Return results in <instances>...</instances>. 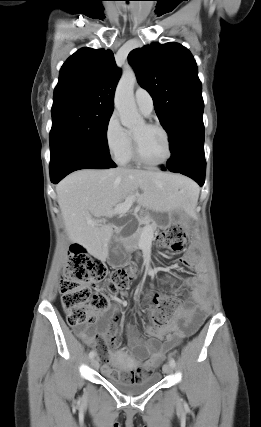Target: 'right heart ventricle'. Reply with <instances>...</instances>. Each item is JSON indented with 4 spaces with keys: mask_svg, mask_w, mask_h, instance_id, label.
<instances>
[{
    "mask_svg": "<svg viewBox=\"0 0 261 427\" xmlns=\"http://www.w3.org/2000/svg\"><path fill=\"white\" fill-rule=\"evenodd\" d=\"M134 162H135V159H134L133 152H132V141H131V146H130L128 152L126 153L125 157L121 160V163L124 165H127V164H131Z\"/></svg>",
    "mask_w": 261,
    "mask_h": 427,
    "instance_id": "1",
    "label": "right heart ventricle"
}]
</instances>
